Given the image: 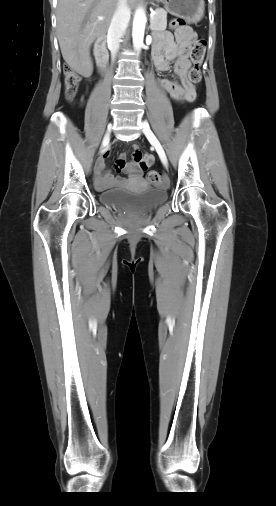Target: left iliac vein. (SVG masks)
<instances>
[{
    "mask_svg": "<svg viewBox=\"0 0 276 506\" xmlns=\"http://www.w3.org/2000/svg\"><path fill=\"white\" fill-rule=\"evenodd\" d=\"M142 130H143V133L146 135V137L149 139V141L155 147V149H156L157 153L159 154V156H160L163 164L167 167L168 161H167V157L165 155V152L163 150V147L160 144V142L157 139V137L155 136V134L150 129V126L146 122H142Z\"/></svg>",
    "mask_w": 276,
    "mask_h": 506,
    "instance_id": "1",
    "label": "left iliac vein"
}]
</instances>
